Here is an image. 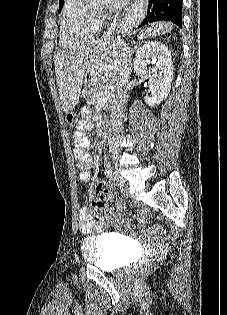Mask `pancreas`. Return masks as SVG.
Instances as JSON below:
<instances>
[{
  "instance_id": "cf45deb5",
  "label": "pancreas",
  "mask_w": 227,
  "mask_h": 315,
  "mask_svg": "<svg viewBox=\"0 0 227 315\" xmlns=\"http://www.w3.org/2000/svg\"><path fill=\"white\" fill-rule=\"evenodd\" d=\"M91 86H89V90L87 91L86 95L89 98V102L91 104H97L98 99L94 96L95 93L101 91L100 88V82L97 81L95 77L91 78L90 81ZM110 99V93L107 92L104 98L102 99L101 106L104 107V109H107L108 107V100Z\"/></svg>"
}]
</instances>
